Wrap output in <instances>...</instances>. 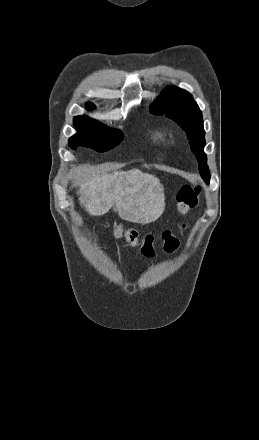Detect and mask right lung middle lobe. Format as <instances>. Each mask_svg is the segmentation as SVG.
I'll return each instance as SVG.
<instances>
[{
  "instance_id": "dd1d6c3e",
  "label": "right lung middle lobe",
  "mask_w": 259,
  "mask_h": 440,
  "mask_svg": "<svg viewBox=\"0 0 259 440\" xmlns=\"http://www.w3.org/2000/svg\"><path fill=\"white\" fill-rule=\"evenodd\" d=\"M73 123L78 133L69 139L72 149L82 146L104 152L117 146L123 139L120 131L110 129L87 116H77Z\"/></svg>"
}]
</instances>
